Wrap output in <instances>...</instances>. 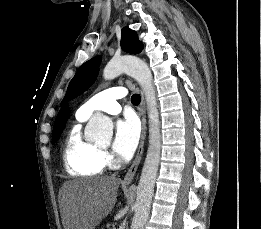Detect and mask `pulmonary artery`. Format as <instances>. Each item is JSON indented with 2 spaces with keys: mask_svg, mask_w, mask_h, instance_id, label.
<instances>
[{
  "mask_svg": "<svg viewBox=\"0 0 261 229\" xmlns=\"http://www.w3.org/2000/svg\"><path fill=\"white\" fill-rule=\"evenodd\" d=\"M127 91L123 87H113L92 95L86 100L81 109L85 114H80L82 118H88L95 111H104L112 115L120 112V106L116 102L117 99L125 97Z\"/></svg>",
  "mask_w": 261,
  "mask_h": 229,
  "instance_id": "obj_1",
  "label": "pulmonary artery"
}]
</instances>
